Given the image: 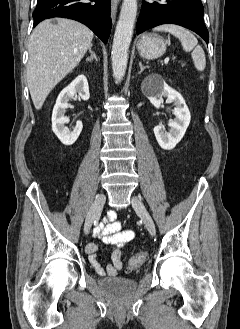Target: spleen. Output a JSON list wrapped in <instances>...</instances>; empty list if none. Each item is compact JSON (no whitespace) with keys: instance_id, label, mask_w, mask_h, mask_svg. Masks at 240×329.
<instances>
[{"instance_id":"obj_1","label":"spleen","mask_w":240,"mask_h":329,"mask_svg":"<svg viewBox=\"0 0 240 329\" xmlns=\"http://www.w3.org/2000/svg\"><path fill=\"white\" fill-rule=\"evenodd\" d=\"M154 31H161V32H169L172 35L176 36L180 42L181 45L186 52L191 53V57L193 59L195 68L198 71H203L206 66V58L204 50L200 45H198V41L196 37L187 29L174 25V24H164L160 25L153 29Z\"/></svg>"}]
</instances>
